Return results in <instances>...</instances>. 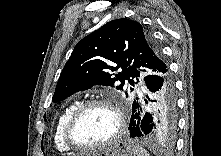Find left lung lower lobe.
Here are the masks:
<instances>
[{
	"label": "left lung lower lobe",
	"instance_id": "0a47b994",
	"mask_svg": "<svg viewBox=\"0 0 221 156\" xmlns=\"http://www.w3.org/2000/svg\"><path fill=\"white\" fill-rule=\"evenodd\" d=\"M142 83V96L132 104L130 137H172L177 124L176 93L168 65L147 73Z\"/></svg>",
	"mask_w": 221,
	"mask_h": 156
}]
</instances>
